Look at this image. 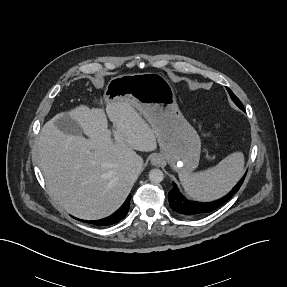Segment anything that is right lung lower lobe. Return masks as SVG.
<instances>
[{
	"mask_svg": "<svg viewBox=\"0 0 287 287\" xmlns=\"http://www.w3.org/2000/svg\"><path fill=\"white\" fill-rule=\"evenodd\" d=\"M130 199H131V195H129L126 199V201L124 202V204L111 216L101 219V220H96V221H85L83 220V222H89L92 223L94 225L97 226H109V225H113L117 222H119L120 220H122L126 214L128 213L129 210V206H130Z\"/></svg>",
	"mask_w": 287,
	"mask_h": 287,
	"instance_id": "1",
	"label": "right lung lower lobe"
}]
</instances>
